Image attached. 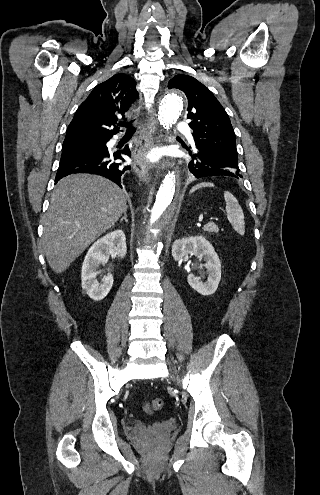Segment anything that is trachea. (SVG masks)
I'll return each mask as SVG.
<instances>
[{"instance_id": "1", "label": "trachea", "mask_w": 320, "mask_h": 495, "mask_svg": "<svg viewBox=\"0 0 320 495\" xmlns=\"http://www.w3.org/2000/svg\"><path fill=\"white\" fill-rule=\"evenodd\" d=\"M119 125L120 126H124V127L127 128L126 135H132L136 131V128L134 127L133 122H130V123H120Z\"/></svg>"}]
</instances>
